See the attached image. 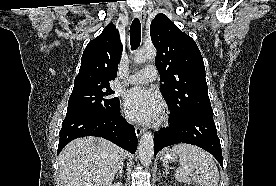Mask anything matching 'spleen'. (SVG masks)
<instances>
[{"label":"spleen","mask_w":276,"mask_h":186,"mask_svg":"<svg viewBox=\"0 0 276 186\" xmlns=\"http://www.w3.org/2000/svg\"><path fill=\"white\" fill-rule=\"evenodd\" d=\"M172 151L179 155L180 168L174 175L177 181H194L200 186H218L219 171L209 153L185 143L173 146Z\"/></svg>","instance_id":"obj_1"}]
</instances>
